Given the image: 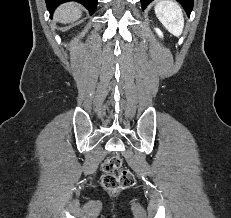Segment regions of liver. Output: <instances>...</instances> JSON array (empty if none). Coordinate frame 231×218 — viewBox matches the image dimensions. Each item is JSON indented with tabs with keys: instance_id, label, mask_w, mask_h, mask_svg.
<instances>
[{
	"instance_id": "6515ba94",
	"label": "liver",
	"mask_w": 231,
	"mask_h": 218,
	"mask_svg": "<svg viewBox=\"0 0 231 218\" xmlns=\"http://www.w3.org/2000/svg\"><path fill=\"white\" fill-rule=\"evenodd\" d=\"M81 15V5L76 2L62 4L55 13L56 19L64 24L78 20Z\"/></svg>"
}]
</instances>
